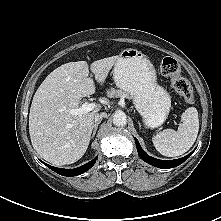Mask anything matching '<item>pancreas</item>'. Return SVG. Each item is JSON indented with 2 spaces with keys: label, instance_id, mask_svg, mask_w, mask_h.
Returning a JSON list of instances; mask_svg holds the SVG:
<instances>
[{
  "label": "pancreas",
  "instance_id": "pancreas-1",
  "mask_svg": "<svg viewBox=\"0 0 221 221\" xmlns=\"http://www.w3.org/2000/svg\"><path fill=\"white\" fill-rule=\"evenodd\" d=\"M107 96L109 98H118V97H128V94L122 90L111 88L110 90L107 91Z\"/></svg>",
  "mask_w": 221,
  "mask_h": 221
}]
</instances>
